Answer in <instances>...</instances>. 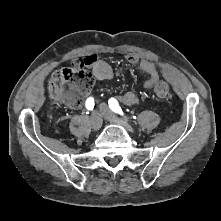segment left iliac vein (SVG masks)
Here are the masks:
<instances>
[{"label":"left iliac vein","instance_id":"1","mask_svg":"<svg viewBox=\"0 0 221 221\" xmlns=\"http://www.w3.org/2000/svg\"><path fill=\"white\" fill-rule=\"evenodd\" d=\"M100 110H101L102 116L106 120H108L112 123H115L117 125H121L130 132L132 131V128L124 120H122V119L118 118L117 116H115L106 104H104V103L101 104Z\"/></svg>","mask_w":221,"mask_h":221}]
</instances>
